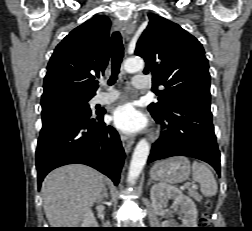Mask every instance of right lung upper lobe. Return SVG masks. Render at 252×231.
I'll return each mask as SVG.
<instances>
[{
  "label": "right lung upper lobe",
  "instance_id": "cb5924a9",
  "mask_svg": "<svg viewBox=\"0 0 252 231\" xmlns=\"http://www.w3.org/2000/svg\"><path fill=\"white\" fill-rule=\"evenodd\" d=\"M109 31V18L96 16L57 45L47 66L42 100L60 95H95L98 85L92 74L99 75L107 66Z\"/></svg>",
  "mask_w": 252,
  "mask_h": 231
}]
</instances>
